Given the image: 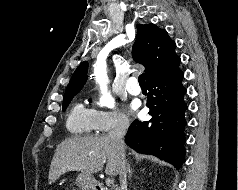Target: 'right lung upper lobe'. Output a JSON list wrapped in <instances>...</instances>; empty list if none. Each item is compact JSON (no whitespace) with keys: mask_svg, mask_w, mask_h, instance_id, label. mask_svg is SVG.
Instances as JSON below:
<instances>
[{"mask_svg":"<svg viewBox=\"0 0 238 190\" xmlns=\"http://www.w3.org/2000/svg\"><path fill=\"white\" fill-rule=\"evenodd\" d=\"M176 44L166 30L154 24H138L136 41L132 47L133 59L145 66L146 81L164 72L179 57L175 53ZM88 62H82L75 70L65 95L78 93L85 84ZM64 95V96H65Z\"/></svg>","mask_w":238,"mask_h":190,"instance_id":"right-lung-upper-lobe-1","label":"right lung upper lobe"}]
</instances>
